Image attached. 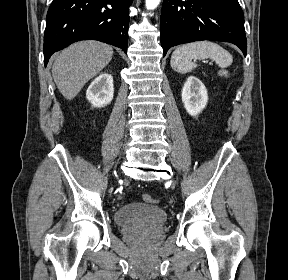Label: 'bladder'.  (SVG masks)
<instances>
[{
	"label": "bladder",
	"instance_id": "obj_1",
	"mask_svg": "<svg viewBox=\"0 0 288 280\" xmlns=\"http://www.w3.org/2000/svg\"><path fill=\"white\" fill-rule=\"evenodd\" d=\"M114 220L124 228L157 230L166 223L167 214L158 206L134 202L119 207Z\"/></svg>",
	"mask_w": 288,
	"mask_h": 280
}]
</instances>
